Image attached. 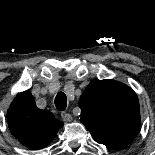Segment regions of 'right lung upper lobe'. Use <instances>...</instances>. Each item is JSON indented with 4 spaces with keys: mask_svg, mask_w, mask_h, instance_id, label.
I'll return each instance as SVG.
<instances>
[{
    "mask_svg": "<svg viewBox=\"0 0 155 155\" xmlns=\"http://www.w3.org/2000/svg\"><path fill=\"white\" fill-rule=\"evenodd\" d=\"M7 120L12 135L31 149L47 146L63 127L51 112L38 109L27 91L16 96L8 109Z\"/></svg>",
    "mask_w": 155,
    "mask_h": 155,
    "instance_id": "right-lung-upper-lobe-1",
    "label": "right lung upper lobe"
}]
</instances>
